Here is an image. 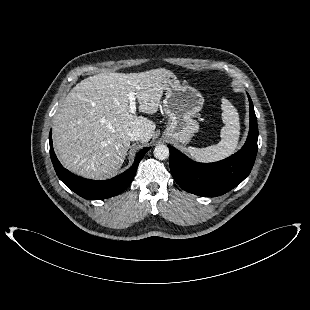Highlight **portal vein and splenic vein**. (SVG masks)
Segmentation results:
<instances>
[{"label": "portal vein and splenic vein", "instance_id": "18ae733b", "mask_svg": "<svg viewBox=\"0 0 310 310\" xmlns=\"http://www.w3.org/2000/svg\"><path fill=\"white\" fill-rule=\"evenodd\" d=\"M129 99V111L134 114L136 112V98L133 92L128 94Z\"/></svg>", "mask_w": 310, "mask_h": 310}]
</instances>
